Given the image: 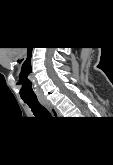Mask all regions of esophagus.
I'll use <instances>...</instances> for the list:
<instances>
[{"label": "esophagus", "mask_w": 113, "mask_h": 165, "mask_svg": "<svg viewBox=\"0 0 113 165\" xmlns=\"http://www.w3.org/2000/svg\"><path fill=\"white\" fill-rule=\"evenodd\" d=\"M39 101L50 112L52 117H60V112L49 100L40 99Z\"/></svg>", "instance_id": "esophagus-1"}]
</instances>
